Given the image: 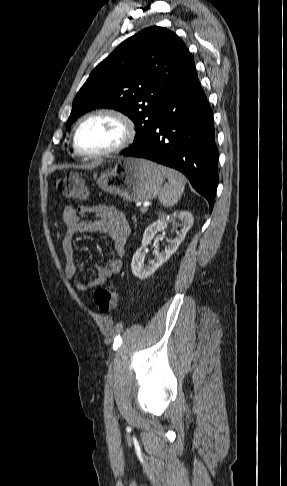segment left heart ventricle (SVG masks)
<instances>
[{
    "label": "left heart ventricle",
    "mask_w": 287,
    "mask_h": 486,
    "mask_svg": "<svg viewBox=\"0 0 287 486\" xmlns=\"http://www.w3.org/2000/svg\"><path fill=\"white\" fill-rule=\"evenodd\" d=\"M122 135V126L116 119L98 116L81 125L77 133V144L85 152H101L115 146Z\"/></svg>",
    "instance_id": "b2bd125f"
}]
</instances>
